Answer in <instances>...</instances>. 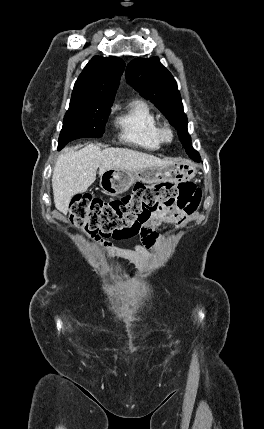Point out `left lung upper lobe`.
Here are the masks:
<instances>
[{
    "label": "left lung upper lobe",
    "instance_id": "5c2ea615",
    "mask_svg": "<svg viewBox=\"0 0 264 429\" xmlns=\"http://www.w3.org/2000/svg\"><path fill=\"white\" fill-rule=\"evenodd\" d=\"M126 77L140 95L149 99L166 116L177 130L188 155L196 151L187 131V117L183 111L177 83L171 73L159 62L158 57L136 58L126 70Z\"/></svg>",
    "mask_w": 264,
    "mask_h": 429
}]
</instances>
